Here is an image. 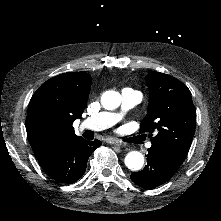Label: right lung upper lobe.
<instances>
[{
  "instance_id": "right-lung-upper-lobe-1",
  "label": "right lung upper lobe",
  "mask_w": 221,
  "mask_h": 221,
  "mask_svg": "<svg viewBox=\"0 0 221 221\" xmlns=\"http://www.w3.org/2000/svg\"><path fill=\"white\" fill-rule=\"evenodd\" d=\"M91 82L86 72H68L47 80L34 93L26 130L38 161L79 137L72 124L84 111Z\"/></svg>"
}]
</instances>
